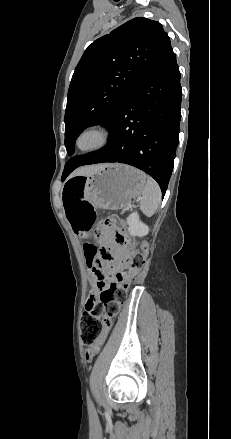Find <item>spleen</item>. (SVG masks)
Here are the masks:
<instances>
[{
  "label": "spleen",
  "mask_w": 231,
  "mask_h": 439,
  "mask_svg": "<svg viewBox=\"0 0 231 439\" xmlns=\"http://www.w3.org/2000/svg\"><path fill=\"white\" fill-rule=\"evenodd\" d=\"M146 185L142 191L140 200V210L142 213L151 217L157 210L161 200V190L158 183L151 177L147 176Z\"/></svg>",
  "instance_id": "obj_1"
}]
</instances>
